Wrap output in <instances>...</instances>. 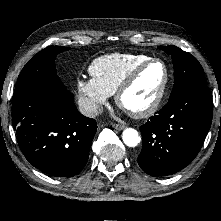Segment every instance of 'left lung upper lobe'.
<instances>
[{
  "mask_svg": "<svg viewBox=\"0 0 221 221\" xmlns=\"http://www.w3.org/2000/svg\"><path fill=\"white\" fill-rule=\"evenodd\" d=\"M159 49L172 55L174 64V87L170 98L198 85H207L204 70L198 60L176 46H160Z\"/></svg>",
  "mask_w": 221,
  "mask_h": 221,
  "instance_id": "1",
  "label": "left lung upper lobe"
}]
</instances>
